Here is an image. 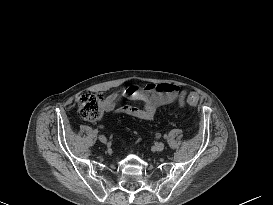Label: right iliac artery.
Wrapping results in <instances>:
<instances>
[{
    "instance_id": "82829eb1",
    "label": "right iliac artery",
    "mask_w": 273,
    "mask_h": 205,
    "mask_svg": "<svg viewBox=\"0 0 273 205\" xmlns=\"http://www.w3.org/2000/svg\"><path fill=\"white\" fill-rule=\"evenodd\" d=\"M94 133H96V134H97V133H98V130H94Z\"/></svg>"
}]
</instances>
